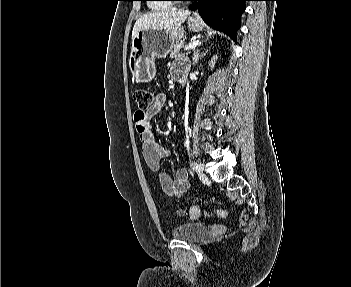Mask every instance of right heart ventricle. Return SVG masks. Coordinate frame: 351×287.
I'll return each mask as SVG.
<instances>
[{
  "label": "right heart ventricle",
  "mask_w": 351,
  "mask_h": 287,
  "mask_svg": "<svg viewBox=\"0 0 351 287\" xmlns=\"http://www.w3.org/2000/svg\"><path fill=\"white\" fill-rule=\"evenodd\" d=\"M151 2H153L149 4L151 10L160 11L167 8V6L164 3H161L159 0H151Z\"/></svg>",
  "instance_id": "right-heart-ventricle-1"
}]
</instances>
